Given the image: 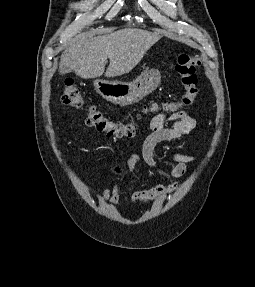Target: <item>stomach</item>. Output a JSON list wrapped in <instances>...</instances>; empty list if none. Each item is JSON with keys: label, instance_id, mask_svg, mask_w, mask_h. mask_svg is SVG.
<instances>
[{"label": "stomach", "instance_id": "0dacf381", "mask_svg": "<svg viewBox=\"0 0 255 287\" xmlns=\"http://www.w3.org/2000/svg\"><path fill=\"white\" fill-rule=\"evenodd\" d=\"M160 82L159 74L146 72L134 82H107V80H95L94 88L107 102L118 104V106H131L145 96L151 94Z\"/></svg>", "mask_w": 255, "mask_h": 287}]
</instances>
